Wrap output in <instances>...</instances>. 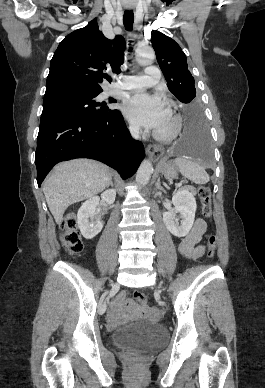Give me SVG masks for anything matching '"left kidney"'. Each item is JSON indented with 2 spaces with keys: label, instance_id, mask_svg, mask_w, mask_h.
<instances>
[{
  "label": "left kidney",
  "instance_id": "obj_1",
  "mask_svg": "<svg viewBox=\"0 0 265 388\" xmlns=\"http://www.w3.org/2000/svg\"><path fill=\"white\" fill-rule=\"evenodd\" d=\"M172 204L175 208L169 212H164L163 222L173 236L184 238L189 234L195 220L196 200L187 188H181L177 194H174ZM176 214H180V218H182L180 226L175 218Z\"/></svg>",
  "mask_w": 265,
  "mask_h": 388
}]
</instances>
